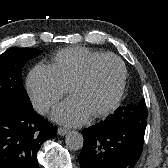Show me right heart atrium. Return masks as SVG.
<instances>
[{"mask_svg":"<svg viewBox=\"0 0 168 168\" xmlns=\"http://www.w3.org/2000/svg\"><path fill=\"white\" fill-rule=\"evenodd\" d=\"M27 92L34 108L41 114L48 112L68 93L53 65L37 64L28 74Z\"/></svg>","mask_w":168,"mask_h":168,"instance_id":"obj_1","label":"right heart atrium"}]
</instances>
